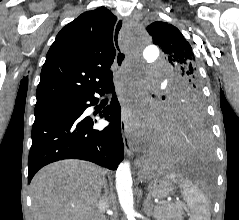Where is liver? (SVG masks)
I'll return each instance as SVG.
<instances>
[{"instance_id": "liver-1", "label": "liver", "mask_w": 239, "mask_h": 220, "mask_svg": "<svg viewBox=\"0 0 239 220\" xmlns=\"http://www.w3.org/2000/svg\"><path fill=\"white\" fill-rule=\"evenodd\" d=\"M105 175L103 168L81 160L45 166L30 185L34 220H95Z\"/></svg>"}]
</instances>
